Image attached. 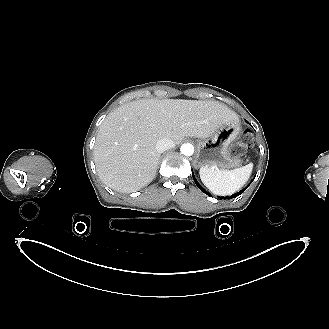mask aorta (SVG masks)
Returning <instances> with one entry per match:
<instances>
[{
	"label": "aorta",
	"instance_id": "762f6f07",
	"mask_svg": "<svg viewBox=\"0 0 329 329\" xmlns=\"http://www.w3.org/2000/svg\"><path fill=\"white\" fill-rule=\"evenodd\" d=\"M180 152L185 156H191L194 153V146L190 143H184L180 147Z\"/></svg>",
	"mask_w": 329,
	"mask_h": 329
}]
</instances>
